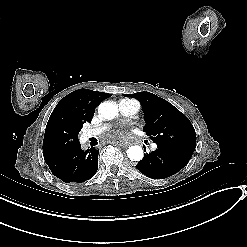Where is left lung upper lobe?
I'll list each match as a JSON object with an SVG mask.
<instances>
[{
	"instance_id": "1",
	"label": "left lung upper lobe",
	"mask_w": 247,
	"mask_h": 247,
	"mask_svg": "<svg viewBox=\"0 0 247 247\" xmlns=\"http://www.w3.org/2000/svg\"><path fill=\"white\" fill-rule=\"evenodd\" d=\"M124 96L140 101L146 121L143 130L157 146H173L193 154L196 147L194 127L176 107L150 92Z\"/></svg>"
}]
</instances>
